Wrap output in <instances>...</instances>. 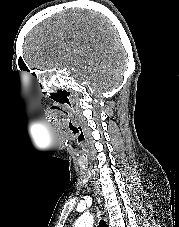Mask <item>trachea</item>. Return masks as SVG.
I'll use <instances>...</instances> for the list:
<instances>
[{
	"instance_id": "trachea-1",
	"label": "trachea",
	"mask_w": 179,
	"mask_h": 227,
	"mask_svg": "<svg viewBox=\"0 0 179 227\" xmlns=\"http://www.w3.org/2000/svg\"><path fill=\"white\" fill-rule=\"evenodd\" d=\"M77 153L79 154L78 157L81 159V158L83 157V156L81 155L82 152L79 150ZM99 227H108V226H107L106 222H105L104 220L101 219V220L99 221Z\"/></svg>"
}]
</instances>
